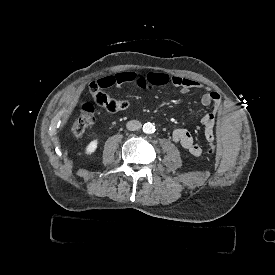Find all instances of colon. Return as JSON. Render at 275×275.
I'll use <instances>...</instances> for the list:
<instances>
[{
  "label": "colon",
  "instance_id": "1",
  "mask_svg": "<svg viewBox=\"0 0 275 275\" xmlns=\"http://www.w3.org/2000/svg\"><path fill=\"white\" fill-rule=\"evenodd\" d=\"M92 94L96 95L99 100H102L103 109L110 112H118L126 110L129 107V103L126 100L115 99L105 92L97 90L95 85L91 86ZM93 101L89 100L80 107V113L76 121L72 125V133L75 135L84 134L88 128L93 124L95 119L96 110L93 108ZM210 155L215 156L218 153V147L216 144L211 143L207 147Z\"/></svg>",
  "mask_w": 275,
  "mask_h": 275
}]
</instances>
